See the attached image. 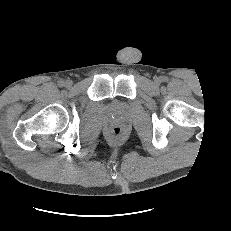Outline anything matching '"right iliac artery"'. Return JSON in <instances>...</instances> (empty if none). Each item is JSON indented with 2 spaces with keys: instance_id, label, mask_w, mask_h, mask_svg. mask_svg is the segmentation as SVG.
<instances>
[{
  "instance_id": "1",
  "label": "right iliac artery",
  "mask_w": 231,
  "mask_h": 231,
  "mask_svg": "<svg viewBox=\"0 0 231 231\" xmlns=\"http://www.w3.org/2000/svg\"><path fill=\"white\" fill-rule=\"evenodd\" d=\"M58 85H59L60 87H63V86L65 85V83H64V81L61 80V81L58 82Z\"/></svg>"
}]
</instances>
